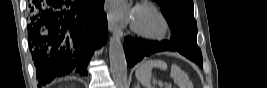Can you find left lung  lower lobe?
I'll return each mask as SVG.
<instances>
[{
  "instance_id": "obj_1",
  "label": "left lung lower lobe",
  "mask_w": 267,
  "mask_h": 88,
  "mask_svg": "<svg viewBox=\"0 0 267 88\" xmlns=\"http://www.w3.org/2000/svg\"><path fill=\"white\" fill-rule=\"evenodd\" d=\"M127 66L132 67L144 56L159 51H178L188 59L202 67V53L197 45L195 34L188 32H173L170 41H146L127 37L124 41Z\"/></svg>"
}]
</instances>
